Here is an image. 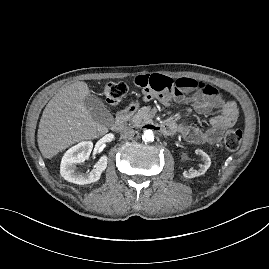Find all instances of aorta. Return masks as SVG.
Here are the masks:
<instances>
[{
    "mask_svg": "<svg viewBox=\"0 0 269 269\" xmlns=\"http://www.w3.org/2000/svg\"><path fill=\"white\" fill-rule=\"evenodd\" d=\"M154 132L151 129H147L144 131L143 135H142V139L145 142H152L154 141Z\"/></svg>",
    "mask_w": 269,
    "mask_h": 269,
    "instance_id": "1",
    "label": "aorta"
}]
</instances>
